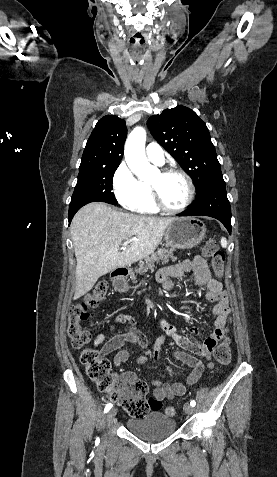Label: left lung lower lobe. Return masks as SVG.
Instances as JSON below:
<instances>
[{
    "label": "left lung lower lobe",
    "mask_w": 277,
    "mask_h": 477,
    "mask_svg": "<svg viewBox=\"0 0 277 477\" xmlns=\"http://www.w3.org/2000/svg\"><path fill=\"white\" fill-rule=\"evenodd\" d=\"M204 215L218 219L231 233V207L222 174L212 177L197 194L195 203L178 216Z\"/></svg>",
    "instance_id": "obj_1"
}]
</instances>
